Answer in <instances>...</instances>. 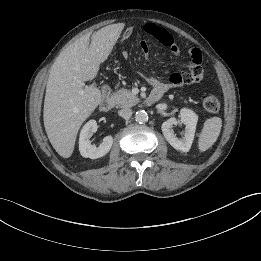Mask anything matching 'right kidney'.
<instances>
[{"instance_id":"ca27d5eb","label":"right kidney","mask_w":261,"mask_h":261,"mask_svg":"<svg viewBox=\"0 0 261 261\" xmlns=\"http://www.w3.org/2000/svg\"><path fill=\"white\" fill-rule=\"evenodd\" d=\"M97 131V123L95 120L88 121L82 128L79 137V151L85 158L97 159L106 155L113 144V137L108 135L103 138L102 143L96 147L91 145L90 138Z\"/></svg>"}]
</instances>
